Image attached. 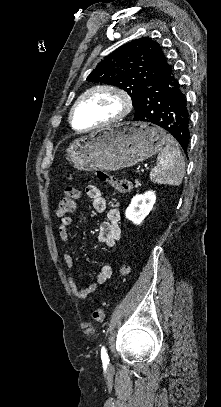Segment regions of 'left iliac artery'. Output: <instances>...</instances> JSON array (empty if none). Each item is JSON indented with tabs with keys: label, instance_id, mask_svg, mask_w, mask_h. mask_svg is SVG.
<instances>
[{
	"label": "left iliac artery",
	"instance_id": "left-iliac-artery-1",
	"mask_svg": "<svg viewBox=\"0 0 221 407\" xmlns=\"http://www.w3.org/2000/svg\"><path fill=\"white\" fill-rule=\"evenodd\" d=\"M101 359L103 362H109L108 354L104 346L101 348Z\"/></svg>",
	"mask_w": 221,
	"mask_h": 407
}]
</instances>
